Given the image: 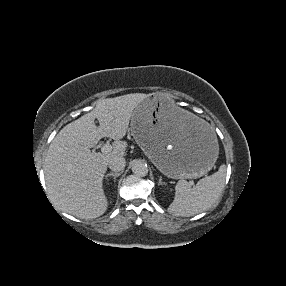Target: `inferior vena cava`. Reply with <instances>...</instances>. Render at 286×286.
<instances>
[{"label":"inferior vena cava","instance_id":"obj_1","mask_svg":"<svg viewBox=\"0 0 286 286\" xmlns=\"http://www.w3.org/2000/svg\"><path fill=\"white\" fill-rule=\"evenodd\" d=\"M109 168L112 171L115 172H120L123 171L125 166H126V161L125 158L122 156H114L110 161H109Z\"/></svg>","mask_w":286,"mask_h":286}]
</instances>
